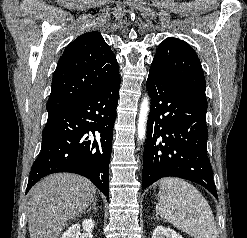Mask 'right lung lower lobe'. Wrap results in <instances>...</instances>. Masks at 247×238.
<instances>
[{"label":"right lung lower lobe","instance_id":"1","mask_svg":"<svg viewBox=\"0 0 247 238\" xmlns=\"http://www.w3.org/2000/svg\"><path fill=\"white\" fill-rule=\"evenodd\" d=\"M119 87L120 75L48 117L26 193L42 177L72 172L90 179L109 199V162Z\"/></svg>","mask_w":247,"mask_h":238}]
</instances>
